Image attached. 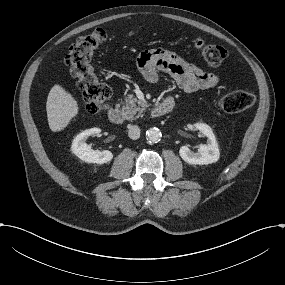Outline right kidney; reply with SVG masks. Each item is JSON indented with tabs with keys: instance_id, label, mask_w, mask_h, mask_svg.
Wrapping results in <instances>:
<instances>
[{
	"instance_id": "right-kidney-1",
	"label": "right kidney",
	"mask_w": 285,
	"mask_h": 285,
	"mask_svg": "<svg viewBox=\"0 0 285 285\" xmlns=\"http://www.w3.org/2000/svg\"><path fill=\"white\" fill-rule=\"evenodd\" d=\"M98 133H100L99 128H92L85 130L77 135L72 142L71 149L73 154L86 163L105 164L110 162L114 158L112 152L106 150L101 153L100 151L94 150L92 146L85 143V141L90 136L96 135Z\"/></svg>"
}]
</instances>
